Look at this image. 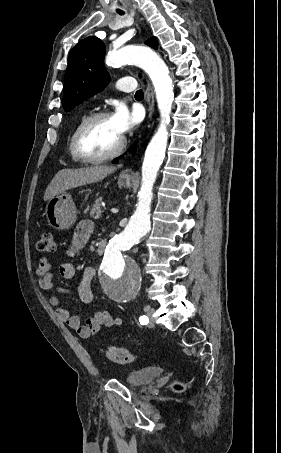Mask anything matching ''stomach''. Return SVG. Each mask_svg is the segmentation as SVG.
I'll return each instance as SVG.
<instances>
[{
	"label": "stomach",
	"instance_id": "stomach-1",
	"mask_svg": "<svg viewBox=\"0 0 281 453\" xmlns=\"http://www.w3.org/2000/svg\"><path fill=\"white\" fill-rule=\"evenodd\" d=\"M132 176L122 172L119 176V182L122 186H131ZM48 224L57 231H66L72 227L77 216L75 202L68 192L56 194L53 198H49L45 210Z\"/></svg>",
	"mask_w": 281,
	"mask_h": 453
}]
</instances>
